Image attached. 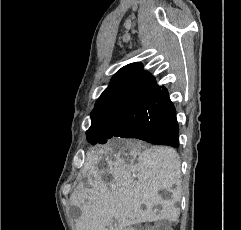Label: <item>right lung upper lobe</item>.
Wrapping results in <instances>:
<instances>
[{
	"label": "right lung upper lobe",
	"instance_id": "cb5924a9",
	"mask_svg": "<svg viewBox=\"0 0 241 230\" xmlns=\"http://www.w3.org/2000/svg\"><path fill=\"white\" fill-rule=\"evenodd\" d=\"M161 88L155 78L143 70L141 63H132L113 76L91 112L92 121L111 111L131 112L147 105Z\"/></svg>",
	"mask_w": 241,
	"mask_h": 230
}]
</instances>
